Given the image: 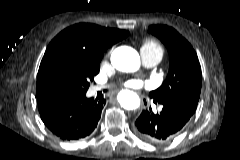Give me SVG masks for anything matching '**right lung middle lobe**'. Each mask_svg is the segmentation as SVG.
I'll return each instance as SVG.
<instances>
[{
	"label": "right lung middle lobe",
	"instance_id": "1",
	"mask_svg": "<svg viewBox=\"0 0 240 160\" xmlns=\"http://www.w3.org/2000/svg\"><path fill=\"white\" fill-rule=\"evenodd\" d=\"M100 59L68 56L50 66L44 75V87L49 96L69 98L86 94L90 81L100 70Z\"/></svg>",
	"mask_w": 240,
	"mask_h": 160
}]
</instances>
